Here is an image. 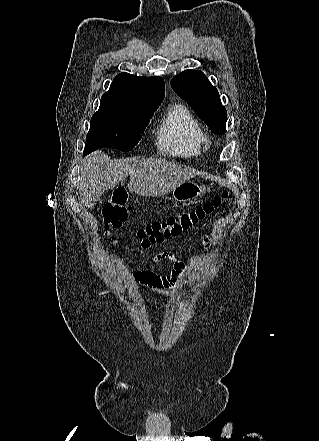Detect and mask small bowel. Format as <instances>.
Here are the masks:
<instances>
[{"label": "small bowel", "instance_id": "obj_1", "mask_svg": "<svg viewBox=\"0 0 319 441\" xmlns=\"http://www.w3.org/2000/svg\"><path fill=\"white\" fill-rule=\"evenodd\" d=\"M170 259L174 268L170 276H160L152 271H138L134 273L133 284L141 292L158 297H171L178 293V284L185 275V264L176 259L170 252H162L153 257V262Z\"/></svg>", "mask_w": 319, "mask_h": 441}]
</instances>
